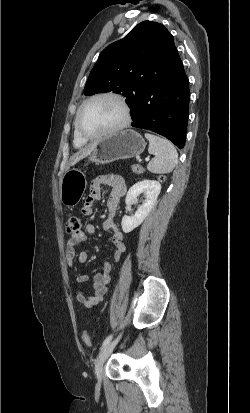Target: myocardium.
<instances>
[{"label": "myocardium", "mask_w": 250, "mask_h": 413, "mask_svg": "<svg viewBox=\"0 0 250 413\" xmlns=\"http://www.w3.org/2000/svg\"><path fill=\"white\" fill-rule=\"evenodd\" d=\"M101 98H108V99H112V100L116 101L120 105V107L123 111V119L117 126L111 128L109 130L103 131L101 133L93 134V135L86 134L81 130V127H80L81 113H82L83 109L85 108V106L87 104H89L90 102H92L94 100L101 99ZM130 123H131V110H130V107L127 104V102L125 101V99L121 95H119L115 92H100V93H96V94L90 96L89 98H87L80 105V107H79V109L76 113L75 121H74L75 130H76L77 134L82 139H84L86 141L100 139V138H104V137H107V136L117 134V133L123 131L125 128H127Z\"/></svg>", "instance_id": "1"}]
</instances>
